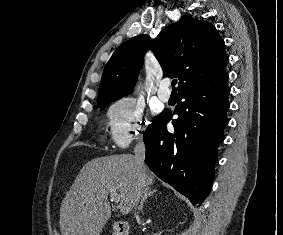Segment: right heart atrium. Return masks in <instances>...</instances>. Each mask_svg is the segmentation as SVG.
I'll use <instances>...</instances> for the list:
<instances>
[{
  "mask_svg": "<svg viewBox=\"0 0 283 235\" xmlns=\"http://www.w3.org/2000/svg\"><path fill=\"white\" fill-rule=\"evenodd\" d=\"M107 121L111 142L120 149L140 138L147 125L143 109L129 97L121 98L110 106Z\"/></svg>",
  "mask_w": 283,
  "mask_h": 235,
  "instance_id": "1",
  "label": "right heart atrium"
}]
</instances>
